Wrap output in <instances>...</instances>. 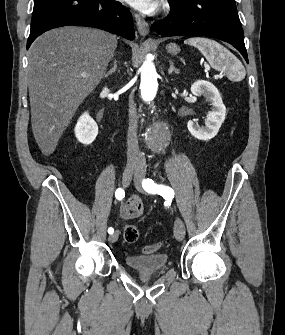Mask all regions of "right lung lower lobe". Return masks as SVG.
<instances>
[{"label":"right lung lower lobe","mask_w":285,"mask_h":335,"mask_svg":"<svg viewBox=\"0 0 285 335\" xmlns=\"http://www.w3.org/2000/svg\"><path fill=\"white\" fill-rule=\"evenodd\" d=\"M100 28L133 40L131 13L113 0H35L27 49L42 33L62 26Z\"/></svg>","instance_id":"1"}]
</instances>
